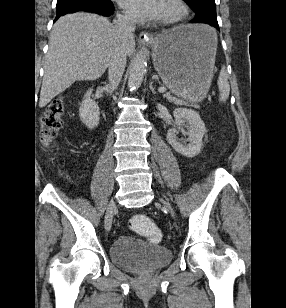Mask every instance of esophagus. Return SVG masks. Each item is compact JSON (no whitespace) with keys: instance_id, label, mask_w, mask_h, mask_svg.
<instances>
[{"instance_id":"34e87169","label":"esophagus","mask_w":286,"mask_h":308,"mask_svg":"<svg viewBox=\"0 0 286 308\" xmlns=\"http://www.w3.org/2000/svg\"><path fill=\"white\" fill-rule=\"evenodd\" d=\"M139 39L142 42H146V41H150L152 39V36L149 32L145 31L140 34Z\"/></svg>"}]
</instances>
